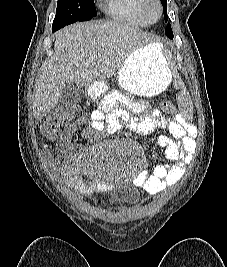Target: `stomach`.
<instances>
[{"instance_id": "0dacf381", "label": "stomach", "mask_w": 227, "mask_h": 267, "mask_svg": "<svg viewBox=\"0 0 227 267\" xmlns=\"http://www.w3.org/2000/svg\"><path fill=\"white\" fill-rule=\"evenodd\" d=\"M120 87L140 96H153L164 91L172 79L171 69L163 51L150 43L136 49L124 61L118 70ZM107 90V85L92 84L87 92L90 98H96Z\"/></svg>"}]
</instances>
